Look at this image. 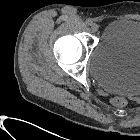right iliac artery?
Instances as JSON below:
<instances>
[{
  "instance_id": "right-iliac-artery-1",
  "label": "right iliac artery",
  "mask_w": 140,
  "mask_h": 140,
  "mask_svg": "<svg viewBox=\"0 0 140 140\" xmlns=\"http://www.w3.org/2000/svg\"><path fill=\"white\" fill-rule=\"evenodd\" d=\"M92 23H93V21H92L91 19H87V20H86V24H87V25H91Z\"/></svg>"
}]
</instances>
